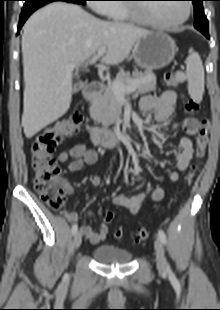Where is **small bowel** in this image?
I'll return each mask as SVG.
<instances>
[{
  "label": "small bowel",
  "instance_id": "small-bowel-1",
  "mask_svg": "<svg viewBox=\"0 0 220 310\" xmlns=\"http://www.w3.org/2000/svg\"><path fill=\"white\" fill-rule=\"evenodd\" d=\"M178 95L173 90H166L161 96H144L140 100L139 109L141 113H153L154 120L157 123L163 124L167 122L173 114L174 106L177 103ZM181 127L187 136L180 140V151L175 157L177 171H171L168 179L171 183H177L180 179L179 171H185L194 154L193 141L190 136L198 132L199 121L195 117H187L181 122ZM177 125H173L175 128ZM58 160L61 163H66L69 172H77L84 165L95 164L98 160V152L88 147L86 144H75L68 149L62 151L58 155ZM90 181L94 186L101 184V178L98 175L91 176ZM73 187L68 186L67 193L72 194ZM151 198L154 201H161L164 198L165 191L161 187H156L150 192ZM147 197V192L143 191L134 196H125L123 194H115L112 196V203L118 207L128 210L131 215H137L142 207L143 201ZM64 217L69 222H75L79 219L77 212L63 211ZM91 216V213H88ZM80 233L86 237L92 244H100L108 234V226L101 223L98 230L95 231L91 226L85 224L81 226Z\"/></svg>",
  "mask_w": 220,
  "mask_h": 310
}]
</instances>
